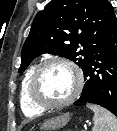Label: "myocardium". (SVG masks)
Listing matches in <instances>:
<instances>
[{
    "label": "myocardium",
    "mask_w": 117,
    "mask_h": 131,
    "mask_svg": "<svg viewBox=\"0 0 117 131\" xmlns=\"http://www.w3.org/2000/svg\"><path fill=\"white\" fill-rule=\"evenodd\" d=\"M51 65L66 66L74 72L75 77H76V86L72 94L65 100L60 101V102H54V103L43 101L42 99L38 97L36 93V84H37L40 73L42 72L44 68ZM83 85H84L83 74L80 68L76 64L66 59L53 58V59H48L41 62L34 68L29 80L28 93H29V97L32 103L38 108L43 109V110H54V109L65 107L71 104L74 100H76V98L80 95L83 89Z\"/></svg>",
    "instance_id": "1"
}]
</instances>
